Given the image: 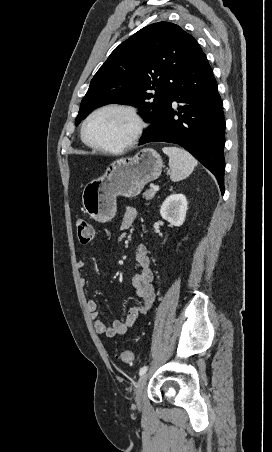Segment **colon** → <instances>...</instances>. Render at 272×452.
<instances>
[{
  "instance_id": "5ec220e1",
  "label": "colon",
  "mask_w": 272,
  "mask_h": 452,
  "mask_svg": "<svg viewBox=\"0 0 272 452\" xmlns=\"http://www.w3.org/2000/svg\"><path fill=\"white\" fill-rule=\"evenodd\" d=\"M76 230L78 242L82 245L91 243L95 238V230L87 220L79 219L76 222ZM116 358L127 364H132L135 360L134 354L129 350L119 352Z\"/></svg>"
}]
</instances>
